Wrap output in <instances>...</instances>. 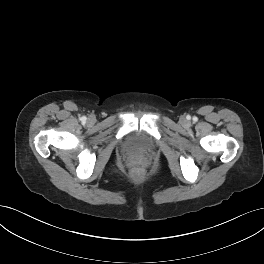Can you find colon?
<instances>
[{
    "label": "colon",
    "instance_id": "1",
    "mask_svg": "<svg viewBox=\"0 0 264 264\" xmlns=\"http://www.w3.org/2000/svg\"><path fill=\"white\" fill-rule=\"evenodd\" d=\"M134 174H135V175L140 174V170H139V169H135V170H134Z\"/></svg>",
    "mask_w": 264,
    "mask_h": 264
}]
</instances>
